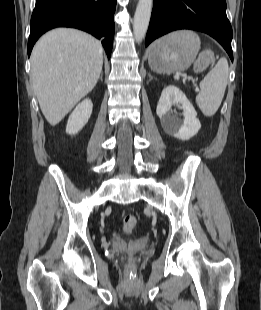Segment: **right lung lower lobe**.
Masks as SVG:
<instances>
[{"mask_svg": "<svg viewBox=\"0 0 261 310\" xmlns=\"http://www.w3.org/2000/svg\"><path fill=\"white\" fill-rule=\"evenodd\" d=\"M116 0H36L31 17L28 56L37 39L55 27L84 30L98 39L110 58L115 30Z\"/></svg>", "mask_w": 261, "mask_h": 310, "instance_id": "1", "label": "right lung lower lobe"}]
</instances>
